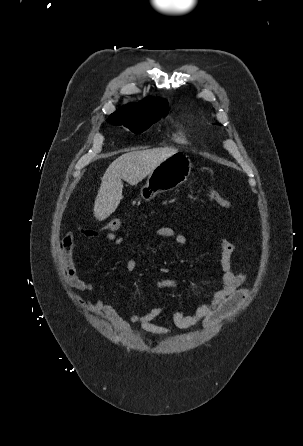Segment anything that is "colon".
<instances>
[{"label": "colon", "instance_id": "obj_1", "mask_svg": "<svg viewBox=\"0 0 303 446\" xmlns=\"http://www.w3.org/2000/svg\"><path fill=\"white\" fill-rule=\"evenodd\" d=\"M208 198L209 200L222 208H230L231 207V203L229 202L228 199L224 198L220 193H218L217 191L210 189L208 191ZM123 225V221L121 218H114L112 220H110L104 227H103V231L105 233H112L115 234V232L117 230H119Z\"/></svg>", "mask_w": 303, "mask_h": 446}]
</instances>
